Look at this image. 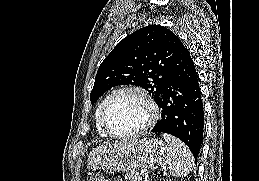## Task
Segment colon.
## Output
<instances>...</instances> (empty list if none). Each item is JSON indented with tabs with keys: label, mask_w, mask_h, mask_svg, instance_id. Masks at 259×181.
<instances>
[{
	"label": "colon",
	"mask_w": 259,
	"mask_h": 181,
	"mask_svg": "<svg viewBox=\"0 0 259 181\" xmlns=\"http://www.w3.org/2000/svg\"><path fill=\"white\" fill-rule=\"evenodd\" d=\"M90 181H106V179L101 175L96 174L90 178Z\"/></svg>",
	"instance_id": "obj_1"
}]
</instances>
